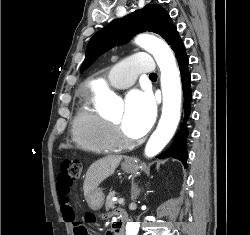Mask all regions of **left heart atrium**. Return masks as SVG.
I'll list each match as a JSON object with an SVG mask.
<instances>
[{
	"mask_svg": "<svg viewBox=\"0 0 250 235\" xmlns=\"http://www.w3.org/2000/svg\"><path fill=\"white\" fill-rule=\"evenodd\" d=\"M156 115L152 95L143 90H132L125 98L122 126L126 134L138 138L151 128Z\"/></svg>",
	"mask_w": 250,
	"mask_h": 235,
	"instance_id": "obj_1",
	"label": "left heart atrium"
}]
</instances>
